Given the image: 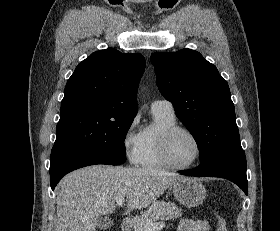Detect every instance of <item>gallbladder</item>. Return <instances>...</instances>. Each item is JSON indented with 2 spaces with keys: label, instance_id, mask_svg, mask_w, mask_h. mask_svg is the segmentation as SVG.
Segmentation results:
<instances>
[{
  "label": "gallbladder",
  "instance_id": "1",
  "mask_svg": "<svg viewBox=\"0 0 280 231\" xmlns=\"http://www.w3.org/2000/svg\"><path fill=\"white\" fill-rule=\"evenodd\" d=\"M114 221L111 217H99L97 221V227L99 229H110L112 227Z\"/></svg>",
  "mask_w": 280,
  "mask_h": 231
}]
</instances>
